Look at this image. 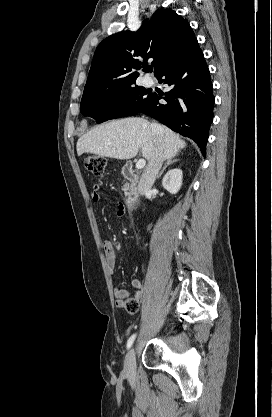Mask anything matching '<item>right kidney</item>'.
<instances>
[{
	"label": "right kidney",
	"instance_id": "1",
	"mask_svg": "<svg viewBox=\"0 0 272 417\" xmlns=\"http://www.w3.org/2000/svg\"><path fill=\"white\" fill-rule=\"evenodd\" d=\"M182 171L180 169H171L162 179V185L171 194H176L182 185Z\"/></svg>",
	"mask_w": 272,
	"mask_h": 417
}]
</instances>
